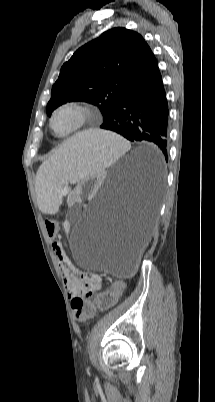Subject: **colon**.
Here are the masks:
<instances>
[{
	"label": "colon",
	"mask_w": 215,
	"mask_h": 402,
	"mask_svg": "<svg viewBox=\"0 0 215 402\" xmlns=\"http://www.w3.org/2000/svg\"><path fill=\"white\" fill-rule=\"evenodd\" d=\"M46 230L52 242L56 241L59 234V226L55 220L46 221ZM84 278H91L92 273L80 272L78 273ZM125 283L123 281H116L112 284L109 291L99 293L95 296L96 307L100 310H107L111 308L117 301V298H124L125 296ZM90 292L87 296H77L72 300V309L77 320H85L91 317L94 313L95 306L87 301V297L91 295Z\"/></svg>",
	"instance_id": "1"
}]
</instances>
